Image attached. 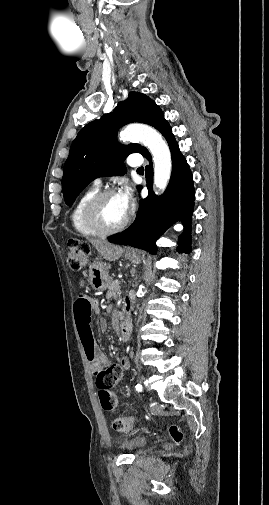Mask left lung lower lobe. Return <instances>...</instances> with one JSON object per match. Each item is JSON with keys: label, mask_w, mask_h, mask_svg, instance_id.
I'll return each mask as SVG.
<instances>
[{"label": "left lung lower lobe", "mask_w": 269, "mask_h": 505, "mask_svg": "<svg viewBox=\"0 0 269 505\" xmlns=\"http://www.w3.org/2000/svg\"><path fill=\"white\" fill-rule=\"evenodd\" d=\"M154 127L166 138L172 155V174L169 185L163 195L153 193V167L151 155L146 157L150 164L146 166V181L149 195L140 201V207L134 223L121 234L109 239L120 245H130L154 254L156 241L170 226L181 219L186 230L179 237L177 251L190 253V223L194 209L195 191L193 178L186 159L172 134L167 121L161 118Z\"/></svg>", "instance_id": "obj_1"}]
</instances>
